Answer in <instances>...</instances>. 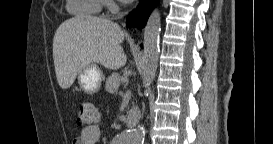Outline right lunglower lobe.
<instances>
[{
  "label": "right lung lower lobe",
  "instance_id": "obj_1",
  "mask_svg": "<svg viewBox=\"0 0 273 144\" xmlns=\"http://www.w3.org/2000/svg\"><path fill=\"white\" fill-rule=\"evenodd\" d=\"M159 0H140L139 6L127 17V26L138 28L146 25L147 19Z\"/></svg>",
  "mask_w": 273,
  "mask_h": 144
}]
</instances>
